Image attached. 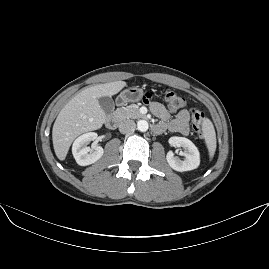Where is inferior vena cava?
Segmentation results:
<instances>
[{
	"mask_svg": "<svg viewBox=\"0 0 269 269\" xmlns=\"http://www.w3.org/2000/svg\"><path fill=\"white\" fill-rule=\"evenodd\" d=\"M136 124L133 120H124L119 125V131L123 134L134 132Z\"/></svg>",
	"mask_w": 269,
	"mask_h": 269,
	"instance_id": "inferior-vena-cava-1",
	"label": "inferior vena cava"
}]
</instances>
